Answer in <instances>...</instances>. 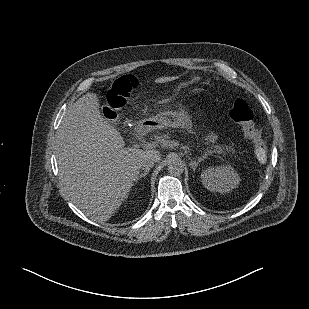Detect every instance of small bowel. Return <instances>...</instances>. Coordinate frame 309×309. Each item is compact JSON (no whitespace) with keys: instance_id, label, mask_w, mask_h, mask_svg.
<instances>
[{"instance_id":"1","label":"small bowel","mask_w":309,"mask_h":309,"mask_svg":"<svg viewBox=\"0 0 309 309\" xmlns=\"http://www.w3.org/2000/svg\"><path fill=\"white\" fill-rule=\"evenodd\" d=\"M216 139H217V137H216L215 135H210V136L208 137V141L211 142V143L215 142Z\"/></svg>"}]
</instances>
